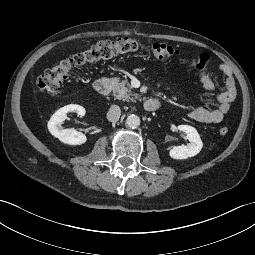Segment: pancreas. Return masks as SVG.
<instances>
[{"mask_svg":"<svg viewBox=\"0 0 255 255\" xmlns=\"http://www.w3.org/2000/svg\"><path fill=\"white\" fill-rule=\"evenodd\" d=\"M113 85V94L114 96L123 101H133L138 99V94L132 92L131 87L127 80H122L115 77L111 79Z\"/></svg>","mask_w":255,"mask_h":255,"instance_id":"cf45deb5","label":"pancreas"}]
</instances>
